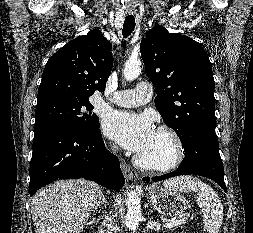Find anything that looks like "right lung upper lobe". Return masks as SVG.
I'll return each mask as SVG.
<instances>
[{
    "instance_id": "cb5924a9",
    "label": "right lung upper lobe",
    "mask_w": 253,
    "mask_h": 233,
    "mask_svg": "<svg viewBox=\"0 0 253 233\" xmlns=\"http://www.w3.org/2000/svg\"><path fill=\"white\" fill-rule=\"evenodd\" d=\"M111 48L98 29L68 42L47 61L37 103L52 97L88 99L96 90L103 92L112 69Z\"/></svg>"
}]
</instances>
